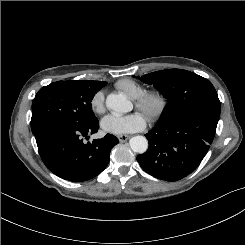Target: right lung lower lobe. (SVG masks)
Wrapping results in <instances>:
<instances>
[{"label":"right lung lower lobe","instance_id":"98d812e1","mask_svg":"<svg viewBox=\"0 0 245 245\" xmlns=\"http://www.w3.org/2000/svg\"><path fill=\"white\" fill-rule=\"evenodd\" d=\"M99 122L82 127L49 123L34 134L39 154L55 175L72 182H83L100 174L108 165L110 150L119 140L111 134L92 143L82 137L94 134Z\"/></svg>","mask_w":245,"mask_h":245}]
</instances>
